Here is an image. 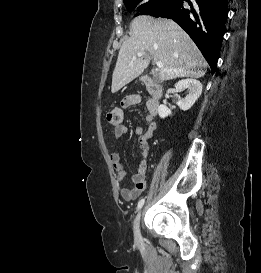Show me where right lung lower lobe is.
Masks as SVG:
<instances>
[{
    "instance_id": "1",
    "label": "right lung lower lobe",
    "mask_w": 261,
    "mask_h": 273,
    "mask_svg": "<svg viewBox=\"0 0 261 273\" xmlns=\"http://www.w3.org/2000/svg\"><path fill=\"white\" fill-rule=\"evenodd\" d=\"M227 3L228 0H171L151 16L170 18L178 23L198 46L214 73L226 32Z\"/></svg>"
}]
</instances>
